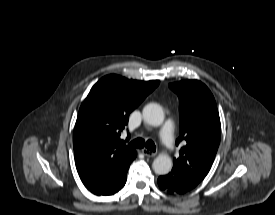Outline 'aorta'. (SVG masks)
Masks as SVG:
<instances>
[{
	"mask_svg": "<svg viewBox=\"0 0 275 215\" xmlns=\"http://www.w3.org/2000/svg\"><path fill=\"white\" fill-rule=\"evenodd\" d=\"M143 119L149 125L160 126L164 121V111L159 104L149 103L143 108ZM152 168L158 175L168 174L172 169V160L167 155H158Z\"/></svg>",
	"mask_w": 275,
	"mask_h": 215,
	"instance_id": "aorta-1",
	"label": "aorta"
}]
</instances>
